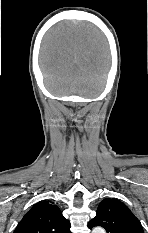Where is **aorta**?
I'll return each instance as SVG.
<instances>
[{
    "instance_id": "aorta-1",
    "label": "aorta",
    "mask_w": 148,
    "mask_h": 233,
    "mask_svg": "<svg viewBox=\"0 0 148 233\" xmlns=\"http://www.w3.org/2000/svg\"><path fill=\"white\" fill-rule=\"evenodd\" d=\"M92 233H106L102 227H96L92 230Z\"/></svg>"
}]
</instances>
